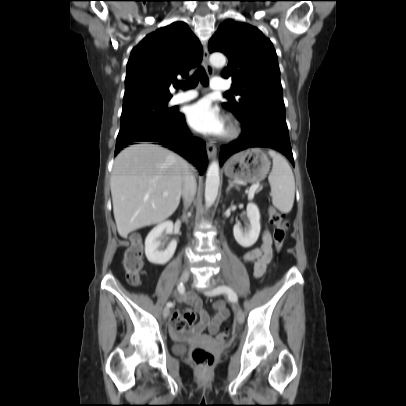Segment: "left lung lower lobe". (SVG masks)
I'll list each match as a JSON object with an SVG mask.
<instances>
[{"mask_svg": "<svg viewBox=\"0 0 406 406\" xmlns=\"http://www.w3.org/2000/svg\"><path fill=\"white\" fill-rule=\"evenodd\" d=\"M242 124L241 136L221 147L220 164L234 153L251 147H268L284 154L294 165L285 117L269 113H255Z\"/></svg>", "mask_w": 406, "mask_h": 406, "instance_id": "obj_1", "label": "left lung lower lobe"}]
</instances>
